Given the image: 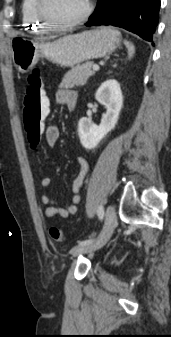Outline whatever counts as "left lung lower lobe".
I'll use <instances>...</instances> for the list:
<instances>
[{"mask_svg": "<svg viewBox=\"0 0 171 337\" xmlns=\"http://www.w3.org/2000/svg\"><path fill=\"white\" fill-rule=\"evenodd\" d=\"M159 8L160 0H99L85 25L121 27L151 42L158 24Z\"/></svg>", "mask_w": 171, "mask_h": 337, "instance_id": "1", "label": "left lung lower lobe"}]
</instances>
